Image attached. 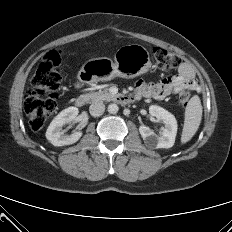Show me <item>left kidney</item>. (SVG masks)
<instances>
[{"label": "left kidney", "instance_id": "5707ae66", "mask_svg": "<svg viewBox=\"0 0 232 232\" xmlns=\"http://www.w3.org/2000/svg\"><path fill=\"white\" fill-rule=\"evenodd\" d=\"M149 113L158 120H162L164 128L160 136L156 135L149 127L141 125L139 132L145 145L150 149L171 148L174 145L177 134V121L173 114L160 106L152 105L149 107Z\"/></svg>", "mask_w": 232, "mask_h": 232}]
</instances>
